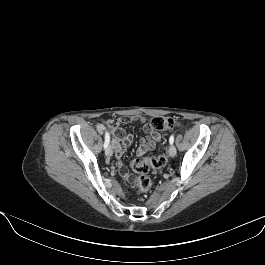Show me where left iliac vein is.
<instances>
[{"label": "left iliac vein", "instance_id": "obj_1", "mask_svg": "<svg viewBox=\"0 0 265 265\" xmlns=\"http://www.w3.org/2000/svg\"><path fill=\"white\" fill-rule=\"evenodd\" d=\"M168 152H169L170 157H175V155H176V148H175V146L174 145H170Z\"/></svg>", "mask_w": 265, "mask_h": 265}]
</instances>
